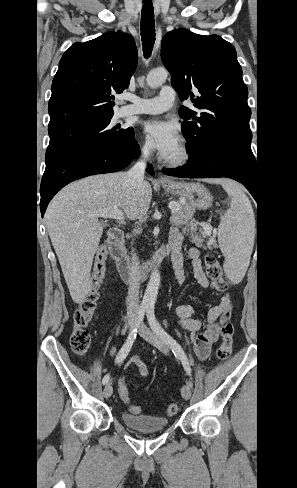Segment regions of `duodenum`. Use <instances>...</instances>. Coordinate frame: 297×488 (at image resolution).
Here are the masks:
<instances>
[{"label":"duodenum","instance_id":"1","mask_svg":"<svg viewBox=\"0 0 297 488\" xmlns=\"http://www.w3.org/2000/svg\"><path fill=\"white\" fill-rule=\"evenodd\" d=\"M108 246L110 255L116 262L117 269L122 279L129 284H133L144 279L148 272L154 269L155 266L171 252L169 245L161 247L156 252L149 265L137 272L126 253L123 231L120 229H112L108 235Z\"/></svg>","mask_w":297,"mask_h":488}]
</instances>
